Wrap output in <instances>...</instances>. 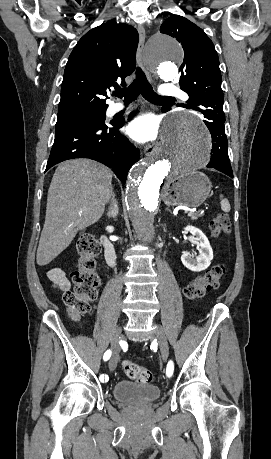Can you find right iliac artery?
<instances>
[{
  "label": "right iliac artery",
  "mask_w": 271,
  "mask_h": 459,
  "mask_svg": "<svg viewBox=\"0 0 271 459\" xmlns=\"http://www.w3.org/2000/svg\"><path fill=\"white\" fill-rule=\"evenodd\" d=\"M111 357V350H107L105 353H104V356H103V359L104 361H107L109 358ZM102 378H104V382H109V376H108V373H102Z\"/></svg>",
  "instance_id": "82829eb1"
}]
</instances>
